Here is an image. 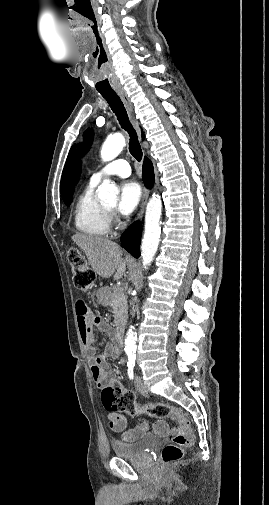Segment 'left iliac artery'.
Returning a JSON list of instances; mask_svg holds the SVG:
<instances>
[{
  "mask_svg": "<svg viewBox=\"0 0 269 505\" xmlns=\"http://www.w3.org/2000/svg\"><path fill=\"white\" fill-rule=\"evenodd\" d=\"M135 359L136 355L134 353H129L128 354V362H127V367H128V377L132 380L134 377V367H135Z\"/></svg>",
  "mask_w": 269,
  "mask_h": 505,
  "instance_id": "left-iliac-artery-1",
  "label": "left iliac artery"
}]
</instances>
